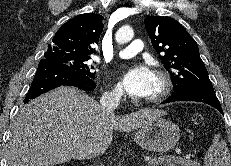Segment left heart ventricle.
<instances>
[{
    "label": "left heart ventricle",
    "mask_w": 231,
    "mask_h": 166,
    "mask_svg": "<svg viewBox=\"0 0 231 166\" xmlns=\"http://www.w3.org/2000/svg\"><path fill=\"white\" fill-rule=\"evenodd\" d=\"M157 88H158V82H157L156 77H154L153 87H152V90L148 96L153 95L156 92Z\"/></svg>",
    "instance_id": "1"
}]
</instances>
